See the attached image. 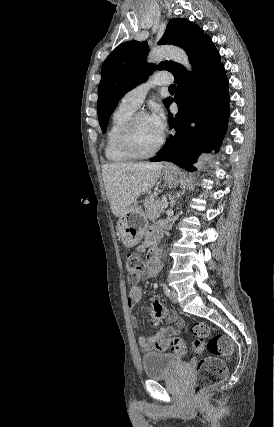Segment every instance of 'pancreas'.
I'll return each mask as SVG.
<instances>
[{
	"label": "pancreas",
	"mask_w": 274,
	"mask_h": 427,
	"mask_svg": "<svg viewBox=\"0 0 274 427\" xmlns=\"http://www.w3.org/2000/svg\"><path fill=\"white\" fill-rule=\"evenodd\" d=\"M144 202L148 219H156V217H160V214H163L162 206L164 202L156 200V196H149Z\"/></svg>",
	"instance_id": "cf45deb5"
}]
</instances>
